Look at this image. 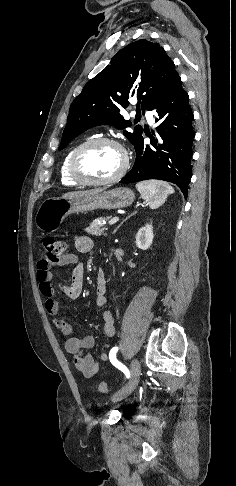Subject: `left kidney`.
<instances>
[{
    "label": "left kidney",
    "instance_id": "obj_1",
    "mask_svg": "<svg viewBox=\"0 0 236 486\" xmlns=\"http://www.w3.org/2000/svg\"><path fill=\"white\" fill-rule=\"evenodd\" d=\"M154 238L152 224H146L136 234V245L141 250H147L152 245Z\"/></svg>",
    "mask_w": 236,
    "mask_h": 486
}]
</instances>
